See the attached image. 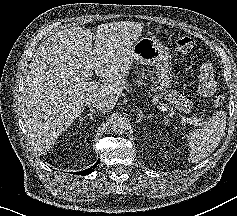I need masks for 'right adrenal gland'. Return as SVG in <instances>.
Returning a JSON list of instances; mask_svg holds the SVG:
<instances>
[{
    "instance_id": "2a0ac1e0",
    "label": "right adrenal gland",
    "mask_w": 237,
    "mask_h": 216,
    "mask_svg": "<svg viewBox=\"0 0 237 216\" xmlns=\"http://www.w3.org/2000/svg\"><path fill=\"white\" fill-rule=\"evenodd\" d=\"M95 113H97V111L96 110H94V109H92L91 110V112L89 113V114H87L86 116H84V117H81V121H83L84 119H86V118H88V117H91V118H93L92 116H93V114H95Z\"/></svg>"
}]
</instances>
